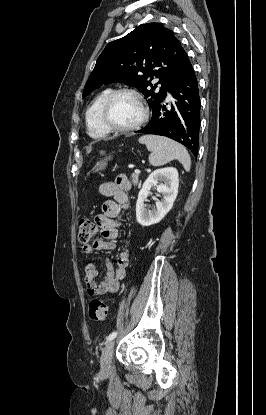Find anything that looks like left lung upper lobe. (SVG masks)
Segmentation results:
<instances>
[{
    "instance_id": "left-lung-upper-lobe-1",
    "label": "left lung upper lobe",
    "mask_w": 266,
    "mask_h": 415,
    "mask_svg": "<svg viewBox=\"0 0 266 415\" xmlns=\"http://www.w3.org/2000/svg\"><path fill=\"white\" fill-rule=\"evenodd\" d=\"M187 60L185 50L170 29L160 23L141 24L105 47L86 82L83 97L102 85L123 82L136 87L153 111L166 98ZM148 77L160 80L152 84L146 81ZM159 83L161 87L156 91Z\"/></svg>"
}]
</instances>
